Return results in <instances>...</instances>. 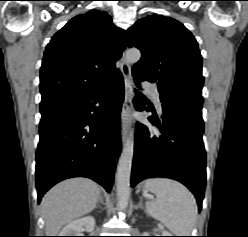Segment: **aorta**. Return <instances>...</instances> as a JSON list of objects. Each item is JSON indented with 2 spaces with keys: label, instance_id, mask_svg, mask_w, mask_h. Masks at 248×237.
<instances>
[{
  "label": "aorta",
  "instance_id": "obj_1",
  "mask_svg": "<svg viewBox=\"0 0 248 237\" xmlns=\"http://www.w3.org/2000/svg\"><path fill=\"white\" fill-rule=\"evenodd\" d=\"M141 53L138 49H130L126 52V60L134 64L139 61ZM134 154V136L130 134L123 147L119 158L117 173H116V190L118 207L124 210L130 199V177Z\"/></svg>",
  "mask_w": 248,
  "mask_h": 237
}]
</instances>
